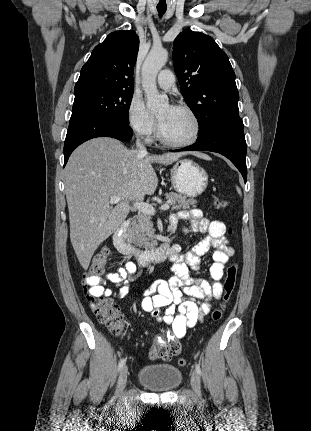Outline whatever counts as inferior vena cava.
<instances>
[{"instance_id":"obj_1","label":"inferior vena cava","mask_w":311,"mask_h":431,"mask_svg":"<svg viewBox=\"0 0 311 431\" xmlns=\"http://www.w3.org/2000/svg\"><path fill=\"white\" fill-rule=\"evenodd\" d=\"M136 150H139L140 154H148L144 144H141L140 140H136Z\"/></svg>"}]
</instances>
